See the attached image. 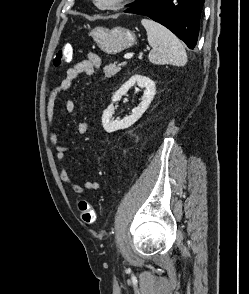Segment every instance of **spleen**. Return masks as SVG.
I'll return each instance as SVG.
<instances>
[{"mask_svg": "<svg viewBox=\"0 0 249 294\" xmlns=\"http://www.w3.org/2000/svg\"><path fill=\"white\" fill-rule=\"evenodd\" d=\"M147 31L148 43L152 47L149 61L153 64L184 66L187 62L186 51L179 39L166 27L151 20L142 19Z\"/></svg>", "mask_w": 249, "mask_h": 294, "instance_id": "spleen-1", "label": "spleen"}]
</instances>
